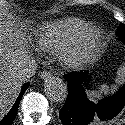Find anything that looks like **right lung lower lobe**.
<instances>
[{
	"label": "right lung lower lobe",
	"instance_id": "1",
	"mask_svg": "<svg viewBox=\"0 0 125 125\" xmlns=\"http://www.w3.org/2000/svg\"><path fill=\"white\" fill-rule=\"evenodd\" d=\"M28 85H29V83H25L22 86L21 92L19 93L17 100L15 101L14 105L12 106V108L10 109L8 114L2 120H0V125H11L12 124V122L14 121V119L17 115V111H18V107H19L21 98H22L23 94L25 93V91L27 90Z\"/></svg>",
	"mask_w": 125,
	"mask_h": 125
}]
</instances>
